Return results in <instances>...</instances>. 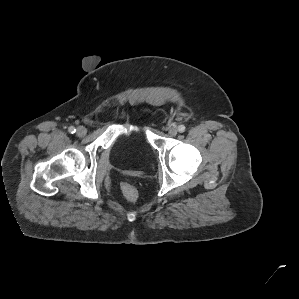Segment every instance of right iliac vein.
<instances>
[{"instance_id":"1","label":"right iliac vein","mask_w":299,"mask_h":299,"mask_svg":"<svg viewBox=\"0 0 299 299\" xmlns=\"http://www.w3.org/2000/svg\"><path fill=\"white\" fill-rule=\"evenodd\" d=\"M87 133V129L84 126H79L76 130V135L79 137L85 136Z\"/></svg>"}]
</instances>
